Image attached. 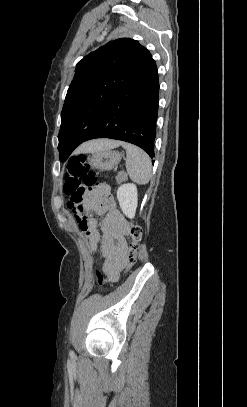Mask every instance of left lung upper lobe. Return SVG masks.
I'll list each match as a JSON object with an SVG mask.
<instances>
[{"label":"left lung upper lobe","mask_w":247,"mask_h":407,"mask_svg":"<svg viewBox=\"0 0 247 407\" xmlns=\"http://www.w3.org/2000/svg\"><path fill=\"white\" fill-rule=\"evenodd\" d=\"M151 60L150 52L138 41L123 38L109 42L77 64L61 112L60 161L68 159L112 100Z\"/></svg>","instance_id":"1"}]
</instances>
